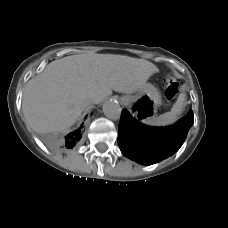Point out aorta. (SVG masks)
Returning <instances> with one entry per match:
<instances>
[{"instance_id": "762f6f07", "label": "aorta", "mask_w": 228, "mask_h": 228, "mask_svg": "<svg viewBox=\"0 0 228 228\" xmlns=\"http://www.w3.org/2000/svg\"><path fill=\"white\" fill-rule=\"evenodd\" d=\"M103 112L109 119H119L121 115V107L118 102L114 100H108L103 104Z\"/></svg>"}]
</instances>
